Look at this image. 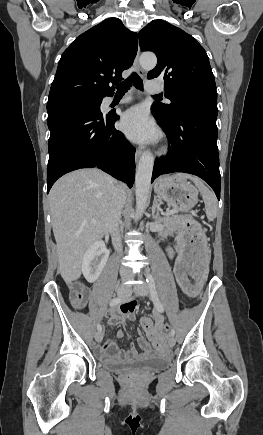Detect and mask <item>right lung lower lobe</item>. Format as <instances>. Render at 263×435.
I'll use <instances>...</instances> for the list:
<instances>
[{"instance_id": "right-lung-lower-lobe-1", "label": "right lung lower lobe", "mask_w": 263, "mask_h": 435, "mask_svg": "<svg viewBox=\"0 0 263 435\" xmlns=\"http://www.w3.org/2000/svg\"><path fill=\"white\" fill-rule=\"evenodd\" d=\"M116 113L70 110L48 117L47 192L62 175L80 168L98 167L132 187L135 148L114 128Z\"/></svg>"}]
</instances>
